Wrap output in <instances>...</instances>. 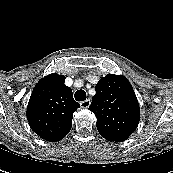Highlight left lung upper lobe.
Here are the masks:
<instances>
[{"instance_id": "5c2ea615", "label": "left lung upper lobe", "mask_w": 173, "mask_h": 173, "mask_svg": "<svg viewBox=\"0 0 173 173\" xmlns=\"http://www.w3.org/2000/svg\"><path fill=\"white\" fill-rule=\"evenodd\" d=\"M89 110L97 129L108 141L126 140L137 128L140 107L130 82L122 75L108 74L97 83Z\"/></svg>"}]
</instances>
